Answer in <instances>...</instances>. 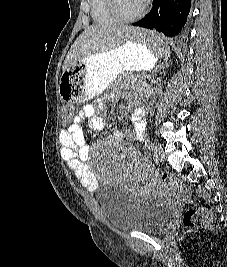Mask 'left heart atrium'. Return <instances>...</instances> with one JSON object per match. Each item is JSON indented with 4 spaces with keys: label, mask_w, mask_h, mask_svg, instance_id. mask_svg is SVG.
I'll use <instances>...</instances> for the list:
<instances>
[{
    "label": "left heart atrium",
    "mask_w": 227,
    "mask_h": 267,
    "mask_svg": "<svg viewBox=\"0 0 227 267\" xmlns=\"http://www.w3.org/2000/svg\"><path fill=\"white\" fill-rule=\"evenodd\" d=\"M143 2H146L147 0H142Z\"/></svg>",
    "instance_id": "39dd6f15"
}]
</instances>
